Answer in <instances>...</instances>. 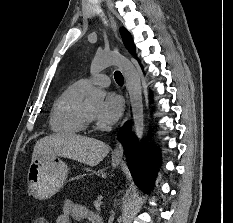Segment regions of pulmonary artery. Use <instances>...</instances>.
Returning a JSON list of instances; mask_svg holds the SVG:
<instances>
[{"label":"pulmonary artery","instance_id":"pulmonary-artery-1","mask_svg":"<svg viewBox=\"0 0 233 223\" xmlns=\"http://www.w3.org/2000/svg\"><path fill=\"white\" fill-rule=\"evenodd\" d=\"M109 77L106 75H96L88 78H83L80 80V82L83 84L85 88L89 87L93 83H97L103 87L107 86L109 84Z\"/></svg>","mask_w":233,"mask_h":223}]
</instances>
